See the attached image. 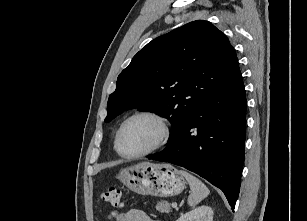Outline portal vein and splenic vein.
Listing matches in <instances>:
<instances>
[{"label":"portal vein and splenic vein","mask_w":307,"mask_h":221,"mask_svg":"<svg viewBox=\"0 0 307 221\" xmlns=\"http://www.w3.org/2000/svg\"><path fill=\"white\" fill-rule=\"evenodd\" d=\"M172 207L177 208V203L176 202L172 203Z\"/></svg>","instance_id":"1"}]
</instances>
